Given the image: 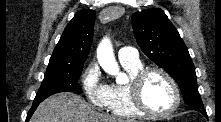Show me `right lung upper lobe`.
I'll use <instances>...</instances> for the list:
<instances>
[{"label":"right lung upper lobe","instance_id":"obj_1","mask_svg":"<svg viewBox=\"0 0 221 122\" xmlns=\"http://www.w3.org/2000/svg\"><path fill=\"white\" fill-rule=\"evenodd\" d=\"M95 11L83 10L65 27L50 58L52 64H84L89 54L94 33Z\"/></svg>","mask_w":221,"mask_h":122}]
</instances>
